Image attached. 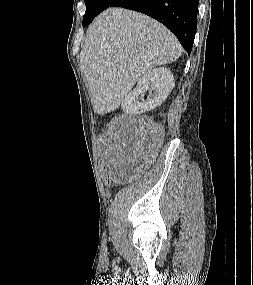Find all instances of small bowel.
Wrapping results in <instances>:
<instances>
[{
  "label": "small bowel",
  "mask_w": 253,
  "mask_h": 285,
  "mask_svg": "<svg viewBox=\"0 0 253 285\" xmlns=\"http://www.w3.org/2000/svg\"><path fill=\"white\" fill-rule=\"evenodd\" d=\"M115 150V151H117L118 153H122V154H129V153H131L133 150V146H131V145H129V144H122V145H118V146H112L111 145V150H110V152L112 151V150ZM110 158V162H111V159H112V157L110 156L109 157ZM110 164V163H109Z\"/></svg>",
  "instance_id": "1"
}]
</instances>
